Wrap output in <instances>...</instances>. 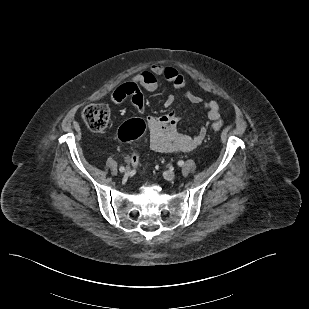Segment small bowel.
<instances>
[{
  "mask_svg": "<svg viewBox=\"0 0 309 309\" xmlns=\"http://www.w3.org/2000/svg\"><path fill=\"white\" fill-rule=\"evenodd\" d=\"M161 78L176 89H182L185 86V78L174 67L153 65L120 84L113 91L111 100L114 103H121L126 98H130L137 111L143 113L145 104L142 90H157ZM183 97L192 104L202 105L207 110L208 121L199 128L195 135H189L180 131V117L175 110H169L166 114L160 116H148L146 123L152 150L160 153L191 151L204 141L210 122L219 120L220 106L218 102L214 100L204 101L200 96L189 91H186ZM173 102L174 97L169 96L165 101V106L170 108ZM128 161L131 162L130 157H128Z\"/></svg>",
  "mask_w": 309,
  "mask_h": 309,
  "instance_id": "small-bowel-1",
  "label": "small bowel"
}]
</instances>
